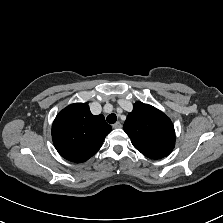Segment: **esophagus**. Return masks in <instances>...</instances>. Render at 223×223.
<instances>
[{"mask_svg": "<svg viewBox=\"0 0 223 223\" xmlns=\"http://www.w3.org/2000/svg\"><path fill=\"white\" fill-rule=\"evenodd\" d=\"M112 127H113L114 129L121 128V127H122V124H121L120 122H116V123H114V124L112 125Z\"/></svg>", "mask_w": 223, "mask_h": 223, "instance_id": "esophagus-1", "label": "esophagus"}]
</instances>
